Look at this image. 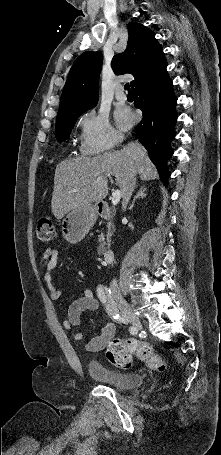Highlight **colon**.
Returning <instances> with one entry per match:
<instances>
[{
  "instance_id": "5ec220e1",
  "label": "colon",
  "mask_w": 221,
  "mask_h": 455,
  "mask_svg": "<svg viewBox=\"0 0 221 455\" xmlns=\"http://www.w3.org/2000/svg\"><path fill=\"white\" fill-rule=\"evenodd\" d=\"M35 235L38 241L48 243L56 236L55 224L52 217H42L36 226ZM132 355L145 362L146 365L157 371L166 368L162 357L157 354L152 345L133 338H113L106 345L107 360L119 368H130L133 364Z\"/></svg>"
}]
</instances>
